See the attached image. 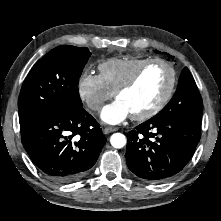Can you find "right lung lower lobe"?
Instances as JSON below:
<instances>
[{"mask_svg":"<svg viewBox=\"0 0 221 221\" xmlns=\"http://www.w3.org/2000/svg\"><path fill=\"white\" fill-rule=\"evenodd\" d=\"M20 132L36 168L58 183L85 176L106 142L98 122L83 108L32 119L20 125Z\"/></svg>","mask_w":221,"mask_h":221,"instance_id":"right-lung-lower-lobe-1","label":"right lung lower lobe"}]
</instances>
